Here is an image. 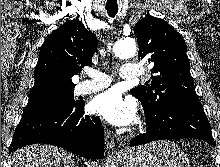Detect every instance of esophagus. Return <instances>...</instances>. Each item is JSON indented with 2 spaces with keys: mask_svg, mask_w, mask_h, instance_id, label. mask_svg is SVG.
Masks as SVG:
<instances>
[{
  "mask_svg": "<svg viewBox=\"0 0 220 167\" xmlns=\"http://www.w3.org/2000/svg\"><path fill=\"white\" fill-rule=\"evenodd\" d=\"M105 147L108 152H113L115 147L114 136L110 130H105Z\"/></svg>",
  "mask_w": 220,
  "mask_h": 167,
  "instance_id": "esophagus-1",
  "label": "esophagus"
}]
</instances>
